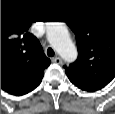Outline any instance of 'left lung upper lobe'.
I'll return each instance as SVG.
<instances>
[{
	"label": "left lung upper lobe",
	"mask_w": 115,
	"mask_h": 114,
	"mask_svg": "<svg viewBox=\"0 0 115 114\" xmlns=\"http://www.w3.org/2000/svg\"><path fill=\"white\" fill-rule=\"evenodd\" d=\"M75 33L78 58L64 66L78 88L96 91L115 77V17L84 13L65 20Z\"/></svg>",
	"instance_id": "1"
}]
</instances>
